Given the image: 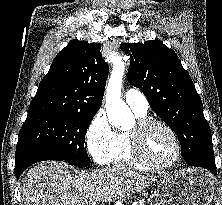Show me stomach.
I'll list each match as a JSON object with an SVG mask.
<instances>
[{
    "label": "stomach",
    "instance_id": "0dacf381",
    "mask_svg": "<svg viewBox=\"0 0 222 205\" xmlns=\"http://www.w3.org/2000/svg\"><path fill=\"white\" fill-rule=\"evenodd\" d=\"M212 182L204 171L188 168L170 172L160 178L150 205H210Z\"/></svg>",
    "mask_w": 222,
    "mask_h": 205
}]
</instances>
